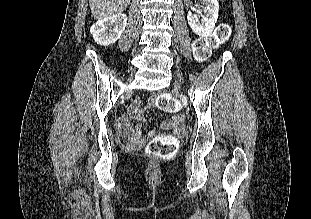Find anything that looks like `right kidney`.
Masks as SVG:
<instances>
[{"instance_id": "ca27d5eb", "label": "right kidney", "mask_w": 311, "mask_h": 219, "mask_svg": "<svg viewBox=\"0 0 311 219\" xmlns=\"http://www.w3.org/2000/svg\"><path fill=\"white\" fill-rule=\"evenodd\" d=\"M126 23L127 16L125 14H116L99 20L91 27L90 32L97 44L108 46L121 37Z\"/></svg>"}]
</instances>
